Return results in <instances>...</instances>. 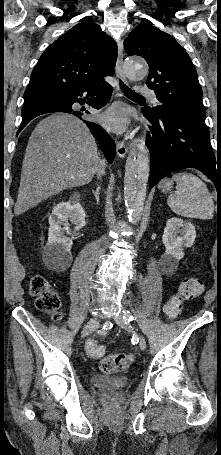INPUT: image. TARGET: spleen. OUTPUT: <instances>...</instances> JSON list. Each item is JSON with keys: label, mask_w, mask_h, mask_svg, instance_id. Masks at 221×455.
<instances>
[{"label": "spleen", "mask_w": 221, "mask_h": 455, "mask_svg": "<svg viewBox=\"0 0 221 455\" xmlns=\"http://www.w3.org/2000/svg\"><path fill=\"white\" fill-rule=\"evenodd\" d=\"M179 194H171L167 203L171 210L183 217L211 219L214 202L206 184L192 173L180 172L172 178Z\"/></svg>", "instance_id": "3e777b00"}]
</instances>
